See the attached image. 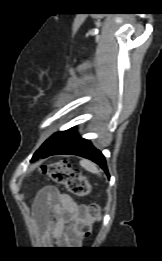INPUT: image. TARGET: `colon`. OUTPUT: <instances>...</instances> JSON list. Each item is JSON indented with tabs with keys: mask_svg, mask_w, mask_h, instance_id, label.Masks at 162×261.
I'll return each mask as SVG.
<instances>
[{
	"mask_svg": "<svg viewBox=\"0 0 162 261\" xmlns=\"http://www.w3.org/2000/svg\"><path fill=\"white\" fill-rule=\"evenodd\" d=\"M56 184L63 185L67 192L76 197H85L91 192V186L86 177L79 171L72 169L69 162L60 160L45 168ZM99 207L91 204L85 207L83 216L75 225L77 238H87L91 234L92 222L99 219Z\"/></svg>",
	"mask_w": 162,
	"mask_h": 261,
	"instance_id": "1",
	"label": "colon"
}]
</instances>
